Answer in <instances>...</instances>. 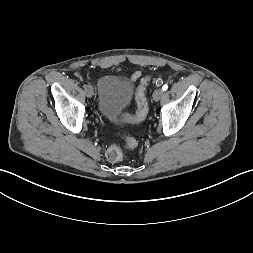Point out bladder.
I'll return each instance as SVG.
<instances>
[{"label": "bladder", "instance_id": "1", "mask_svg": "<svg viewBox=\"0 0 253 253\" xmlns=\"http://www.w3.org/2000/svg\"><path fill=\"white\" fill-rule=\"evenodd\" d=\"M133 84L113 75L103 76L98 81V109L106 119L113 120L131 99Z\"/></svg>", "mask_w": 253, "mask_h": 253}]
</instances>
